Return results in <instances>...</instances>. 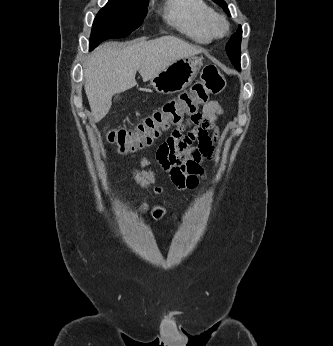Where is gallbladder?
<instances>
[{"label": "gallbladder", "mask_w": 333, "mask_h": 346, "mask_svg": "<svg viewBox=\"0 0 333 346\" xmlns=\"http://www.w3.org/2000/svg\"><path fill=\"white\" fill-rule=\"evenodd\" d=\"M119 99V95L114 96V101Z\"/></svg>", "instance_id": "1"}]
</instances>
